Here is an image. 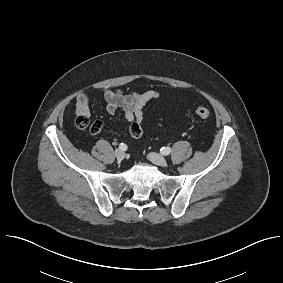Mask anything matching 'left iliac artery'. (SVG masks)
I'll use <instances>...</instances> for the list:
<instances>
[{
  "mask_svg": "<svg viewBox=\"0 0 283 283\" xmlns=\"http://www.w3.org/2000/svg\"><path fill=\"white\" fill-rule=\"evenodd\" d=\"M160 152H161V154H163V155H169L170 152H171V148H170V147H162V148L160 149Z\"/></svg>",
  "mask_w": 283,
  "mask_h": 283,
  "instance_id": "1",
  "label": "left iliac artery"
}]
</instances>
